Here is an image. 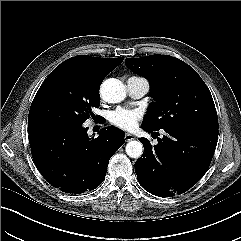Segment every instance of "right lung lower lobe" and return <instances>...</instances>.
Listing matches in <instances>:
<instances>
[{
    "label": "right lung lower lobe",
    "mask_w": 241,
    "mask_h": 241,
    "mask_svg": "<svg viewBox=\"0 0 241 241\" xmlns=\"http://www.w3.org/2000/svg\"><path fill=\"white\" fill-rule=\"evenodd\" d=\"M82 124L28 129L32 157L43 177L66 193L81 194L104 180L110 158L124 144L122 130L108 126L89 138Z\"/></svg>",
    "instance_id": "98d812e1"
}]
</instances>
